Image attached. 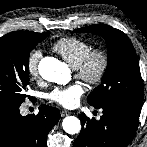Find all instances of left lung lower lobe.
I'll list each match as a JSON object with an SVG mask.
<instances>
[{
	"mask_svg": "<svg viewBox=\"0 0 147 147\" xmlns=\"http://www.w3.org/2000/svg\"><path fill=\"white\" fill-rule=\"evenodd\" d=\"M98 108L103 110L98 121L79 115L82 128L74 147H127L138 128L140 112L120 105Z\"/></svg>",
	"mask_w": 147,
	"mask_h": 147,
	"instance_id": "left-lung-lower-lobe-1",
	"label": "left lung lower lobe"
}]
</instances>
